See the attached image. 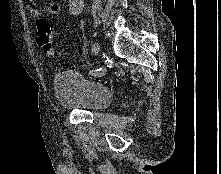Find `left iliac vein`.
Returning <instances> with one entry per match:
<instances>
[{
    "instance_id": "left-iliac-vein-1",
    "label": "left iliac vein",
    "mask_w": 221,
    "mask_h": 174,
    "mask_svg": "<svg viewBox=\"0 0 221 174\" xmlns=\"http://www.w3.org/2000/svg\"><path fill=\"white\" fill-rule=\"evenodd\" d=\"M100 52V46L98 44V42H93L92 43V47H91V53L93 56H97Z\"/></svg>"
}]
</instances>
